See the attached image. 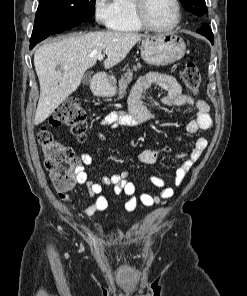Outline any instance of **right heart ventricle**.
<instances>
[{
	"instance_id": "obj_1",
	"label": "right heart ventricle",
	"mask_w": 247,
	"mask_h": 296,
	"mask_svg": "<svg viewBox=\"0 0 247 296\" xmlns=\"http://www.w3.org/2000/svg\"><path fill=\"white\" fill-rule=\"evenodd\" d=\"M115 6L117 16L111 27L114 31L139 32L142 30L134 16L133 0H115Z\"/></svg>"
}]
</instances>
